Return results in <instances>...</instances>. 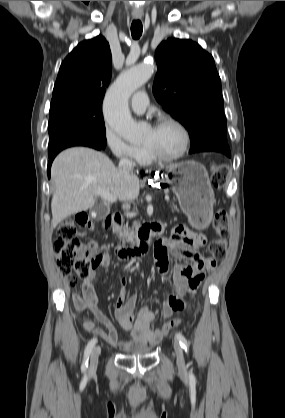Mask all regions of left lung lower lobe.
Returning <instances> with one entry per match:
<instances>
[{
	"instance_id": "0a47b994",
	"label": "left lung lower lobe",
	"mask_w": 285,
	"mask_h": 418,
	"mask_svg": "<svg viewBox=\"0 0 285 418\" xmlns=\"http://www.w3.org/2000/svg\"><path fill=\"white\" fill-rule=\"evenodd\" d=\"M228 157H231V154H226Z\"/></svg>"
}]
</instances>
